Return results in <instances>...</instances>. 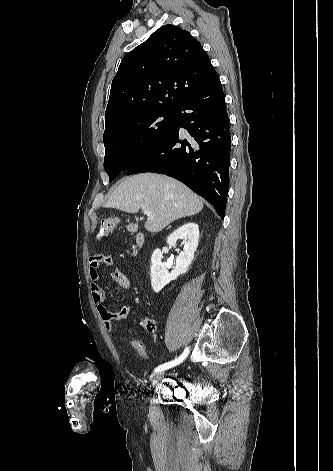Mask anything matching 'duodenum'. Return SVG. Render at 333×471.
<instances>
[{
	"instance_id": "1",
	"label": "duodenum",
	"mask_w": 333,
	"mask_h": 471,
	"mask_svg": "<svg viewBox=\"0 0 333 471\" xmlns=\"http://www.w3.org/2000/svg\"><path fill=\"white\" fill-rule=\"evenodd\" d=\"M137 243H138L139 245H141V244L143 243V237H142L141 234H139V235L137 236Z\"/></svg>"
}]
</instances>
